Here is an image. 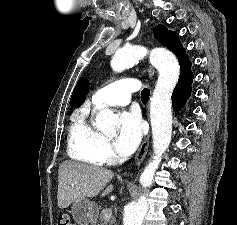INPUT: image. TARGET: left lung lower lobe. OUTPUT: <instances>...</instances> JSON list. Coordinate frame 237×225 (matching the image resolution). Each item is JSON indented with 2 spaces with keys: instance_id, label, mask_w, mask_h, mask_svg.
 I'll use <instances>...</instances> for the list:
<instances>
[{
  "instance_id": "0a47b994",
  "label": "left lung lower lobe",
  "mask_w": 237,
  "mask_h": 225,
  "mask_svg": "<svg viewBox=\"0 0 237 225\" xmlns=\"http://www.w3.org/2000/svg\"><path fill=\"white\" fill-rule=\"evenodd\" d=\"M193 77V73L190 71L181 72L178 83L172 94V106L175 111L180 110L191 95Z\"/></svg>"
}]
</instances>
